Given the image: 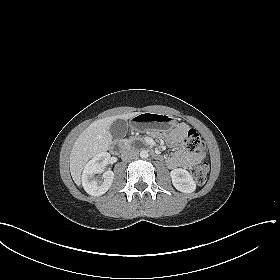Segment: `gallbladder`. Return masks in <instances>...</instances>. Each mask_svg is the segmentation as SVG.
Instances as JSON below:
<instances>
[{"label": "gallbladder", "instance_id": "gallbladder-1", "mask_svg": "<svg viewBox=\"0 0 280 280\" xmlns=\"http://www.w3.org/2000/svg\"><path fill=\"white\" fill-rule=\"evenodd\" d=\"M128 130V122L124 119H116L110 126L109 131L114 139L125 136Z\"/></svg>", "mask_w": 280, "mask_h": 280}]
</instances>
